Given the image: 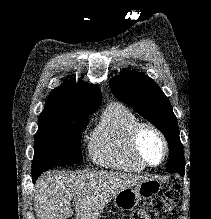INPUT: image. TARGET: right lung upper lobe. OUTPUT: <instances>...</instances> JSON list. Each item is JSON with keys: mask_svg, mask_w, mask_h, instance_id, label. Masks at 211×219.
Returning a JSON list of instances; mask_svg holds the SVG:
<instances>
[{"mask_svg": "<svg viewBox=\"0 0 211 219\" xmlns=\"http://www.w3.org/2000/svg\"><path fill=\"white\" fill-rule=\"evenodd\" d=\"M101 103L97 85L69 81L48 96L43 112L53 116L92 114Z\"/></svg>", "mask_w": 211, "mask_h": 219, "instance_id": "cb5924a9", "label": "right lung upper lobe"}]
</instances>
